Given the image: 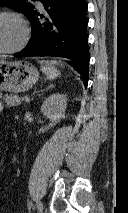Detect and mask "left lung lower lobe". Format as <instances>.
I'll return each instance as SVG.
<instances>
[{
    "mask_svg": "<svg viewBox=\"0 0 128 213\" xmlns=\"http://www.w3.org/2000/svg\"><path fill=\"white\" fill-rule=\"evenodd\" d=\"M46 9L40 15L34 9L29 21L32 25L28 45L15 57L58 56L70 59L69 62L88 83L89 51L87 42L85 0H39ZM37 16L44 18L41 22Z\"/></svg>",
    "mask_w": 128,
    "mask_h": 213,
    "instance_id": "0a47b994",
    "label": "left lung lower lobe"
}]
</instances>
